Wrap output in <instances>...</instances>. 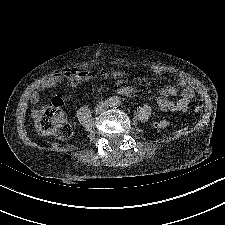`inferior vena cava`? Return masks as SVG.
Masks as SVG:
<instances>
[{"label": "inferior vena cava", "instance_id": "602c4592", "mask_svg": "<svg viewBox=\"0 0 225 225\" xmlns=\"http://www.w3.org/2000/svg\"><path fill=\"white\" fill-rule=\"evenodd\" d=\"M97 106H98L97 108L98 111H104L108 108V105L106 102H99Z\"/></svg>", "mask_w": 225, "mask_h": 225}]
</instances>
